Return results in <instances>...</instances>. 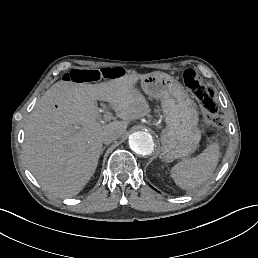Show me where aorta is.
Listing matches in <instances>:
<instances>
[{"mask_svg": "<svg viewBox=\"0 0 258 258\" xmlns=\"http://www.w3.org/2000/svg\"><path fill=\"white\" fill-rule=\"evenodd\" d=\"M130 148L139 155H150L154 150L152 136L144 131L134 132L129 138Z\"/></svg>", "mask_w": 258, "mask_h": 258, "instance_id": "1", "label": "aorta"}]
</instances>
